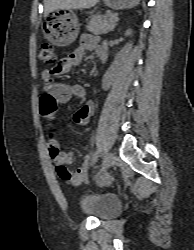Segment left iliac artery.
Returning a JSON list of instances; mask_svg holds the SVG:
<instances>
[{"instance_id": "obj_1", "label": "left iliac artery", "mask_w": 194, "mask_h": 250, "mask_svg": "<svg viewBox=\"0 0 194 250\" xmlns=\"http://www.w3.org/2000/svg\"><path fill=\"white\" fill-rule=\"evenodd\" d=\"M97 158H98V152L96 151L93 155V159H92L93 163L97 161Z\"/></svg>"}]
</instances>
